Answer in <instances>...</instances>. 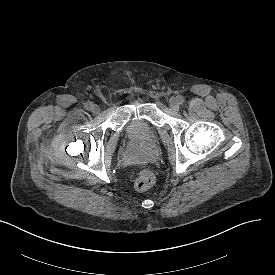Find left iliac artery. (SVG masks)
Segmentation results:
<instances>
[{
    "instance_id": "obj_1",
    "label": "left iliac artery",
    "mask_w": 275,
    "mask_h": 275,
    "mask_svg": "<svg viewBox=\"0 0 275 275\" xmlns=\"http://www.w3.org/2000/svg\"><path fill=\"white\" fill-rule=\"evenodd\" d=\"M177 99L179 101V104H183L184 101H185V98L183 96H181V95L177 96Z\"/></svg>"
}]
</instances>
